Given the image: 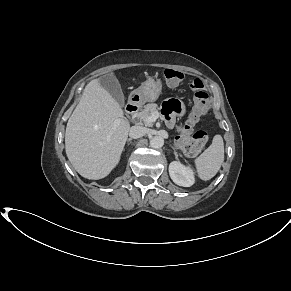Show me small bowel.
Masks as SVG:
<instances>
[{"label":"small bowel","mask_w":291,"mask_h":291,"mask_svg":"<svg viewBox=\"0 0 291 291\" xmlns=\"http://www.w3.org/2000/svg\"><path fill=\"white\" fill-rule=\"evenodd\" d=\"M167 108L165 110V115L169 121V123L173 120V115L179 113L181 111V105L177 104L176 100H171L167 103Z\"/></svg>","instance_id":"c3829d8e"}]
</instances>
